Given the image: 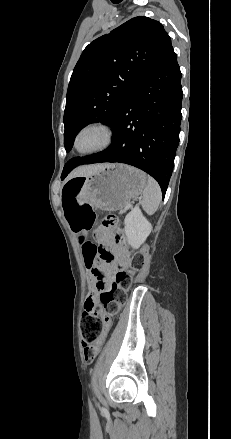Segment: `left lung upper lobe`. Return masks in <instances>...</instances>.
<instances>
[{
  "instance_id": "obj_1",
  "label": "left lung upper lobe",
  "mask_w": 231,
  "mask_h": 439,
  "mask_svg": "<svg viewBox=\"0 0 231 439\" xmlns=\"http://www.w3.org/2000/svg\"><path fill=\"white\" fill-rule=\"evenodd\" d=\"M172 49L162 24L145 16L130 19L92 41L78 60L68 86L64 145L72 149L78 132L102 122L111 126L135 87ZM65 164L62 179L68 174Z\"/></svg>"
}]
</instances>
